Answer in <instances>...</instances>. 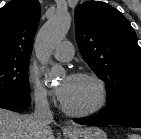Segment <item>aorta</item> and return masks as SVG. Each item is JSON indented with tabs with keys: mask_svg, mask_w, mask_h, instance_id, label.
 I'll list each match as a JSON object with an SVG mask.
<instances>
[{
	"mask_svg": "<svg viewBox=\"0 0 141 139\" xmlns=\"http://www.w3.org/2000/svg\"><path fill=\"white\" fill-rule=\"evenodd\" d=\"M71 26L68 13H56L40 30L36 40V55L42 65L48 63L51 52L65 38ZM59 75L55 69L45 75V81L50 82Z\"/></svg>",
	"mask_w": 141,
	"mask_h": 139,
	"instance_id": "762f6f07",
	"label": "aorta"
}]
</instances>
